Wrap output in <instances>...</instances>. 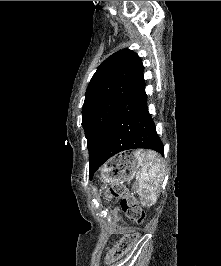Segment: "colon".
I'll use <instances>...</instances> for the list:
<instances>
[{"label":"colon","mask_w":221,"mask_h":266,"mask_svg":"<svg viewBox=\"0 0 221 266\" xmlns=\"http://www.w3.org/2000/svg\"><path fill=\"white\" fill-rule=\"evenodd\" d=\"M105 195L108 198H121V208L126 217L136 223L143 224L145 221V213L138 206L133 196L125 192V187L122 184H114L105 190ZM138 233L130 232L125 234L109 251L106 260L113 262L124 256L137 242Z\"/></svg>","instance_id":"obj_1"}]
</instances>
